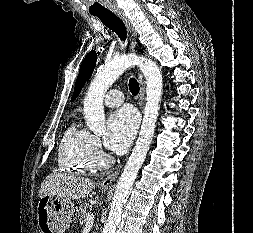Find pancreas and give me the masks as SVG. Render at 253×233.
Segmentation results:
<instances>
[{
    "label": "pancreas",
    "mask_w": 253,
    "mask_h": 233,
    "mask_svg": "<svg viewBox=\"0 0 253 233\" xmlns=\"http://www.w3.org/2000/svg\"><path fill=\"white\" fill-rule=\"evenodd\" d=\"M91 211V206L89 204H81L76 210L75 219L84 225L86 223L87 214ZM96 233V232H95Z\"/></svg>",
    "instance_id": "cf45deb5"
}]
</instances>
